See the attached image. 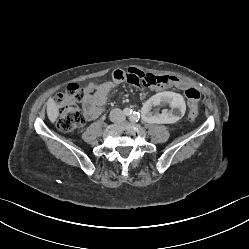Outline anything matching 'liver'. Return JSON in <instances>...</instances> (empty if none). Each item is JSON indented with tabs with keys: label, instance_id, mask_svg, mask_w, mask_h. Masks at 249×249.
<instances>
[{
	"label": "liver",
	"instance_id": "1",
	"mask_svg": "<svg viewBox=\"0 0 249 249\" xmlns=\"http://www.w3.org/2000/svg\"><path fill=\"white\" fill-rule=\"evenodd\" d=\"M47 116L51 123H54L59 116V109L53 98H49L47 101Z\"/></svg>",
	"mask_w": 249,
	"mask_h": 249
}]
</instances>
